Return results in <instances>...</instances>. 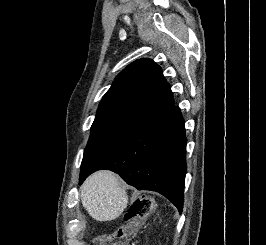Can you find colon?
Wrapping results in <instances>:
<instances>
[{
	"label": "colon",
	"instance_id": "1",
	"mask_svg": "<svg viewBox=\"0 0 266 245\" xmlns=\"http://www.w3.org/2000/svg\"><path fill=\"white\" fill-rule=\"evenodd\" d=\"M153 201L149 197L136 198L124 214L123 222L113 232L96 238V245H133L141 224L150 214Z\"/></svg>",
	"mask_w": 266,
	"mask_h": 245
}]
</instances>
